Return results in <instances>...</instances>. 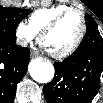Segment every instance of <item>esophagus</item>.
<instances>
[{
  "instance_id": "1",
  "label": "esophagus",
  "mask_w": 103,
  "mask_h": 103,
  "mask_svg": "<svg viewBox=\"0 0 103 103\" xmlns=\"http://www.w3.org/2000/svg\"><path fill=\"white\" fill-rule=\"evenodd\" d=\"M31 57L32 58H36L37 57V55H36V53L34 51H31Z\"/></svg>"
}]
</instances>
